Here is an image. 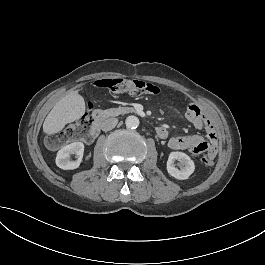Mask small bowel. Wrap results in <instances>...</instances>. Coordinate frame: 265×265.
Segmentation results:
<instances>
[{
    "label": "small bowel",
    "instance_id": "small-bowel-1",
    "mask_svg": "<svg viewBox=\"0 0 265 265\" xmlns=\"http://www.w3.org/2000/svg\"><path fill=\"white\" fill-rule=\"evenodd\" d=\"M187 119L196 127L202 128L205 125L209 140L199 135L173 136L168 141V146L172 150H187L194 155L206 153L212 160L217 154L216 131L212 121L196 104H189L186 108ZM165 131V136L160 139H166L168 133L164 128H158Z\"/></svg>",
    "mask_w": 265,
    "mask_h": 265
}]
</instances>
